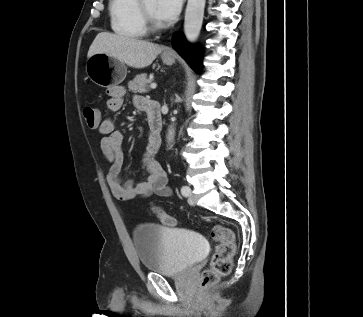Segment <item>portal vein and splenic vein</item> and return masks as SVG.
I'll return each mask as SVG.
<instances>
[{
    "mask_svg": "<svg viewBox=\"0 0 363 317\" xmlns=\"http://www.w3.org/2000/svg\"><path fill=\"white\" fill-rule=\"evenodd\" d=\"M156 87H157V84H156V83H152V84L150 85V88H151V89H156Z\"/></svg>",
    "mask_w": 363,
    "mask_h": 317,
    "instance_id": "portal-vein-and-splenic-vein-1",
    "label": "portal vein and splenic vein"
}]
</instances>
